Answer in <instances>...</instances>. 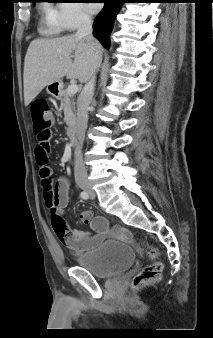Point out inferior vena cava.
<instances>
[{"label": "inferior vena cava", "instance_id": "obj_1", "mask_svg": "<svg viewBox=\"0 0 213 338\" xmlns=\"http://www.w3.org/2000/svg\"><path fill=\"white\" fill-rule=\"evenodd\" d=\"M77 37L94 40L92 35V21L88 15L81 17V22L76 33ZM95 72L92 74L89 81L85 84L78 98V112L76 125L77 142L74 151V175L77 181L87 180V171L82 160V145L85 138V130L88 122V108L94 95L95 87Z\"/></svg>", "mask_w": 213, "mask_h": 338}]
</instances>
